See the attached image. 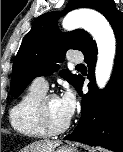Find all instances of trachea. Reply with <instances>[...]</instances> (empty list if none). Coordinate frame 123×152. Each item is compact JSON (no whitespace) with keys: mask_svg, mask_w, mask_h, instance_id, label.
<instances>
[{"mask_svg":"<svg viewBox=\"0 0 123 152\" xmlns=\"http://www.w3.org/2000/svg\"><path fill=\"white\" fill-rule=\"evenodd\" d=\"M76 68H77V69H81V68H85V66H84L83 64H78V65L76 66Z\"/></svg>","mask_w":123,"mask_h":152,"instance_id":"3493384b","label":"trachea"}]
</instances>
